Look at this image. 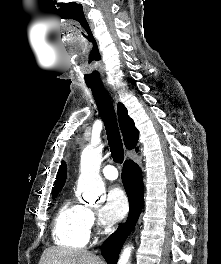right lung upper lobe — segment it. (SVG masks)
I'll return each mask as SVG.
<instances>
[{"label": "right lung upper lobe", "instance_id": "1", "mask_svg": "<svg viewBox=\"0 0 221 264\" xmlns=\"http://www.w3.org/2000/svg\"><path fill=\"white\" fill-rule=\"evenodd\" d=\"M117 112H118L119 125L124 138L125 146L129 150L134 149L136 148L138 142L139 132L136 129L133 120L128 116L127 109L122 103H118ZM136 151H138V148H136ZM65 180H66V164L62 162V165L60 166L56 177L52 197H56L58 192L64 186Z\"/></svg>", "mask_w": 221, "mask_h": 264}]
</instances>
